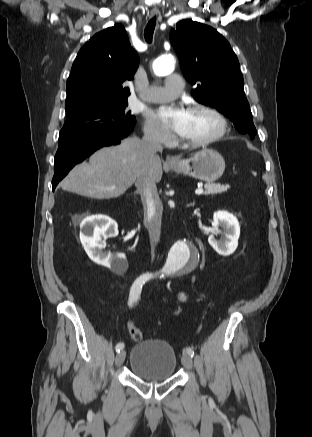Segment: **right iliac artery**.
<instances>
[{
    "label": "right iliac artery",
    "instance_id": "1",
    "mask_svg": "<svg viewBox=\"0 0 312 437\" xmlns=\"http://www.w3.org/2000/svg\"><path fill=\"white\" fill-rule=\"evenodd\" d=\"M152 276L149 274H143L140 277H138L134 283L132 284V287L130 289V294H129V300H128V305L130 307L133 306V304L140 298V294L142 291V286L151 278ZM124 348V344L119 342L117 343L115 349L116 352H120V350H122Z\"/></svg>",
    "mask_w": 312,
    "mask_h": 437
}]
</instances>
